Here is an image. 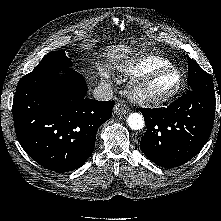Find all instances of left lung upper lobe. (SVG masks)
<instances>
[{"label": "left lung upper lobe", "instance_id": "5c2ea615", "mask_svg": "<svg viewBox=\"0 0 221 221\" xmlns=\"http://www.w3.org/2000/svg\"><path fill=\"white\" fill-rule=\"evenodd\" d=\"M188 60V84L190 90L200 89L215 96L212 77L204 71L195 61L187 57Z\"/></svg>", "mask_w": 221, "mask_h": 221}]
</instances>
